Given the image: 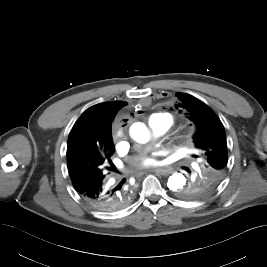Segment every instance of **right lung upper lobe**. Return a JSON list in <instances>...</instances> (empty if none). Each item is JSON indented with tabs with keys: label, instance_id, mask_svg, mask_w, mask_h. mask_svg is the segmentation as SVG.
Wrapping results in <instances>:
<instances>
[{
	"label": "right lung upper lobe",
	"instance_id": "cb5924a9",
	"mask_svg": "<svg viewBox=\"0 0 267 267\" xmlns=\"http://www.w3.org/2000/svg\"><path fill=\"white\" fill-rule=\"evenodd\" d=\"M122 101L105 102L88 108L73 126L67 144V157L95 147L110 148V124Z\"/></svg>",
	"mask_w": 267,
	"mask_h": 267
}]
</instances>
